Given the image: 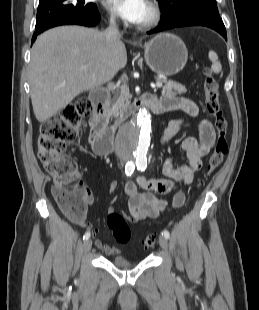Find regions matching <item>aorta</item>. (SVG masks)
Here are the masks:
<instances>
[{
    "label": "aorta",
    "mask_w": 259,
    "mask_h": 310,
    "mask_svg": "<svg viewBox=\"0 0 259 310\" xmlns=\"http://www.w3.org/2000/svg\"><path fill=\"white\" fill-rule=\"evenodd\" d=\"M151 118L146 108H140L118 136V147L128 158L146 157L151 141Z\"/></svg>",
    "instance_id": "obj_1"
}]
</instances>
